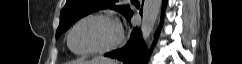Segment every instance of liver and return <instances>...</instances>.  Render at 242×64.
<instances>
[{"mask_svg": "<svg viewBox=\"0 0 242 64\" xmlns=\"http://www.w3.org/2000/svg\"><path fill=\"white\" fill-rule=\"evenodd\" d=\"M91 63H105V64H116L114 60H110L104 57H98L90 61Z\"/></svg>", "mask_w": 242, "mask_h": 64, "instance_id": "obj_1", "label": "liver"}]
</instances>
